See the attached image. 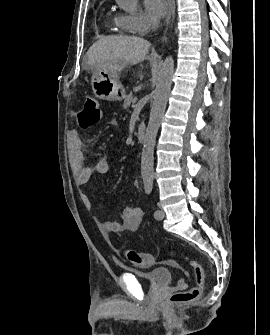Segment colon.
<instances>
[{
	"label": "colon",
	"mask_w": 270,
	"mask_h": 335,
	"mask_svg": "<svg viewBox=\"0 0 270 335\" xmlns=\"http://www.w3.org/2000/svg\"><path fill=\"white\" fill-rule=\"evenodd\" d=\"M102 107L93 96H87L82 110L78 111L80 126L83 130L95 126L102 117ZM123 254L128 262L135 266L144 267L150 264L152 256L149 253H137L131 249H124ZM188 265L192 268L194 285L186 291L175 293L171 296L170 302L173 304H183L196 300L203 291L204 272L198 261L190 256H186Z\"/></svg>",
	"instance_id": "obj_1"
}]
</instances>
